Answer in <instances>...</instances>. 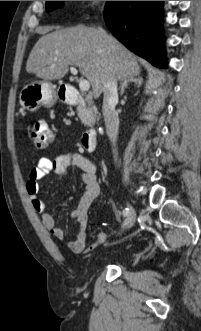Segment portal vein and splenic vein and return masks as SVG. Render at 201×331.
Returning <instances> with one entry per match:
<instances>
[{
    "instance_id": "obj_1",
    "label": "portal vein and splenic vein",
    "mask_w": 201,
    "mask_h": 331,
    "mask_svg": "<svg viewBox=\"0 0 201 331\" xmlns=\"http://www.w3.org/2000/svg\"><path fill=\"white\" fill-rule=\"evenodd\" d=\"M70 71H71V73L73 75H77L78 74L77 69L74 68V67H70ZM79 88L82 91H89V89H90V83H89V81L88 80H85V79H81L79 81Z\"/></svg>"
}]
</instances>
